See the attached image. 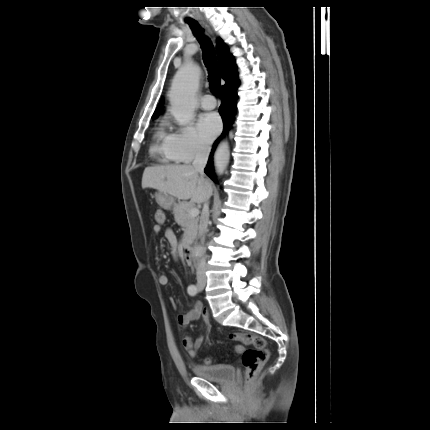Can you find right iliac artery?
Wrapping results in <instances>:
<instances>
[{
  "label": "right iliac artery",
  "instance_id": "1",
  "mask_svg": "<svg viewBox=\"0 0 430 430\" xmlns=\"http://www.w3.org/2000/svg\"><path fill=\"white\" fill-rule=\"evenodd\" d=\"M187 292L189 295L194 296L198 293V287L196 285H190L187 288Z\"/></svg>",
  "mask_w": 430,
  "mask_h": 430
}]
</instances>
